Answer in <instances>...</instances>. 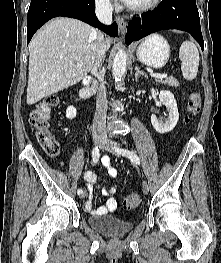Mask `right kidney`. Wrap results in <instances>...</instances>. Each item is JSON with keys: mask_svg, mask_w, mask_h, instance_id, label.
Segmentation results:
<instances>
[{"mask_svg": "<svg viewBox=\"0 0 221 263\" xmlns=\"http://www.w3.org/2000/svg\"><path fill=\"white\" fill-rule=\"evenodd\" d=\"M77 111L76 108L73 106H69L66 110V117L68 119H73L76 117Z\"/></svg>", "mask_w": 221, "mask_h": 263, "instance_id": "1", "label": "right kidney"}]
</instances>
